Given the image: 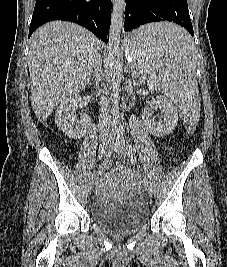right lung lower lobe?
Instances as JSON below:
<instances>
[{
    "label": "right lung lower lobe",
    "instance_id": "1",
    "mask_svg": "<svg viewBox=\"0 0 227 267\" xmlns=\"http://www.w3.org/2000/svg\"><path fill=\"white\" fill-rule=\"evenodd\" d=\"M53 20L78 23L107 43L111 0H36L29 37L38 27Z\"/></svg>",
    "mask_w": 227,
    "mask_h": 267
}]
</instances>
